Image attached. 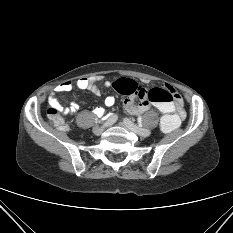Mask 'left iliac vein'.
Returning <instances> with one entry per match:
<instances>
[{
	"mask_svg": "<svg viewBox=\"0 0 233 233\" xmlns=\"http://www.w3.org/2000/svg\"><path fill=\"white\" fill-rule=\"evenodd\" d=\"M127 120H125L124 119V121L123 122H120V125L122 126V127H124V128H126L127 130H129V131H131V132H134V133H136V134H138V135H140V136H143L142 134H140V132H138V131H136L135 129H133L132 127H130L129 125H127L125 122H126ZM131 122V121H130ZM132 123V122H131ZM133 124V123H132ZM151 133V132H150ZM146 136H148V135H146ZM146 136H144V137H146Z\"/></svg>",
	"mask_w": 233,
	"mask_h": 233,
	"instance_id": "4c4485c4",
	"label": "left iliac vein"
}]
</instances>
